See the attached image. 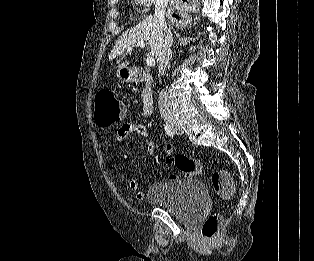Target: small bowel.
I'll return each mask as SVG.
<instances>
[{
	"label": "small bowel",
	"mask_w": 314,
	"mask_h": 261,
	"mask_svg": "<svg viewBox=\"0 0 314 261\" xmlns=\"http://www.w3.org/2000/svg\"><path fill=\"white\" fill-rule=\"evenodd\" d=\"M117 135L122 140H124V139H126L132 135L142 136L146 141L145 142V150H146L147 154L152 155L155 151V144H154L153 140L150 138L148 130L141 124L134 123V122H127L119 128ZM165 153H166V157L168 155L173 154L172 145L169 144L166 146ZM140 185H141V182L138 179H132L129 182V188L132 191H137V193H136V199L137 200H142L143 196H144L142 192L138 191L140 188Z\"/></svg>",
	"instance_id": "small-bowel-1"
}]
</instances>
